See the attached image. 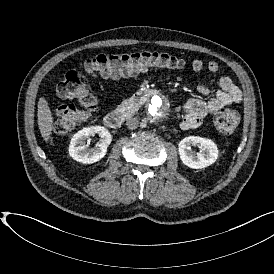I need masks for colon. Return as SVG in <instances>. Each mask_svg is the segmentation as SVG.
<instances>
[{
    "label": "colon",
    "mask_w": 274,
    "mask_h": 274,
    "mask_svg": "<svg viewBox=\"0 0 274 274\" xmlns=\"http://www.w3.org/2000/svg\"><path fill=\"white\" fill-rule=\"evenodd\" d=\"M184 65L183 58L159 52L94 55L85 60L80 68L68 69L57 83L58 98L54 102L57 119L54 121L53 128L56 133H66L70 127L76 126L81 121L85 110L92 111L96 108V100L83 80L84 75L119 78L135 75L144 70L182 68ZM239 123L240 118L236 111L223 109L216 113L215 124L222 134L233 133Z\"/></svg>",
    "instance_id": "colon-1"
}]
</instances>
